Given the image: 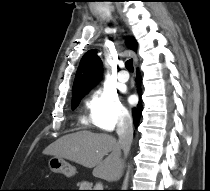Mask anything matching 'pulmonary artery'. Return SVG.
Returning a JSON list of instances; mask_svg holds the SVG:
<instances>
[{"label": "pulmonary artery", "instance_id": "1", "mask_svg": "<svg viewBox=\"0 0 210 191\" xmlns=\"http://www.w3.org/2000/svg\"><path fill=\"white\" fill-rule=\"evenodd\" d=\"M129 79V74L125 70H121L118 73V80L122 83L127 82Z\"/></svg>", "mask_w": 210, "mask_h": 191}]
</instances>
